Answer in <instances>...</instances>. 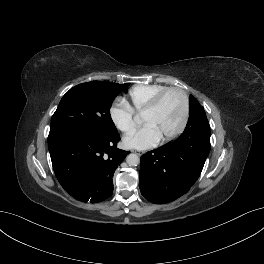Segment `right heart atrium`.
Here are the masks:
<instances>
[{
	"instance_id": "d8ad5b80",
	"label": "right heart atrium",
	"mask_w": 264,
	"mask_h": 264,
	"mask_svg": "<svg viewBox=\"0 0 264 264\" xmlns=\"http://www.w3.org/2000/svg\"><path fill=\"white\" fill-rule=\"evenodd\" d=\"M109 115L114 126L123 133H130L135 127V114L126 102L114 103Z\"/></svg>"
}]
</instances>
